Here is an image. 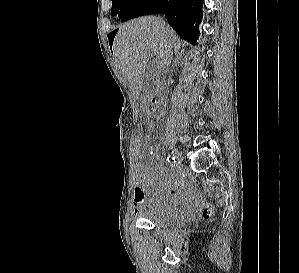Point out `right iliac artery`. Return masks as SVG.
<instances>
[{
	"label": "right iliac artery",
	"instance_id": "right-iliac-artery-1",
	"mask_svg": "<svg viewBox=\"0 0 299 273\" xmlns=\"http://www.w3.org/2000/svg\"><path fill=\"white\" fill-rule=\"evenodd\" d=\"M167 161H168V163L170 164L171 167H174V166H175L176 160H175L174 157H172V156H168V157H167Z\"/></svg>",
	"mask_w": 299,
	"mask_h": 273
}]
</instances>
